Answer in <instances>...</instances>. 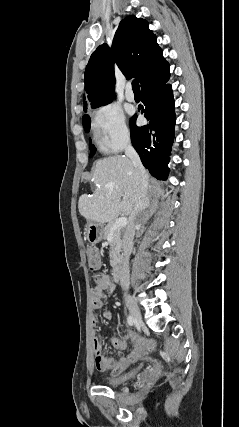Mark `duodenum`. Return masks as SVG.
Here are the masks:
<instances>
[{
	"mask_svg": "<svg viewBox=\"0 0 239 427\" xmlns=\"http://www.w3.org/2000/svg\"><path fill=\"white\" fill-rule=\"evenodd\" d=\"M122 263L120 260H116L113 264L112 276L115 281H119L122 276Z\"/></svg>",
	"mask_w": 239,
	"mask_h": 427,
	"instance_id": "1",
	"label": "duodenum"
}]
</instances>
